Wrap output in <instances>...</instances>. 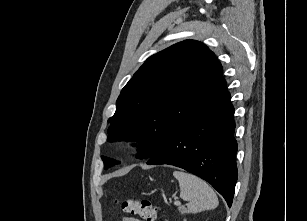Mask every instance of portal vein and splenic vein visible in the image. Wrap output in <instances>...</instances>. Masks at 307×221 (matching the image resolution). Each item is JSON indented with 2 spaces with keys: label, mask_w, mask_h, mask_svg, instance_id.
Listing matches in <instances>:
<instances>
[{
  "label": "portal vein and splenic vein",
  "mask_w": 307,
  "mask_h": 221,
  "mask_svg": "<svg viewBox=\"0 0 307 221\" xmlns=\"http://www.w3.org/2000/svg\"><path fill=\"white\" fill-rule=\"evenodd\" d=\"M174 204H175L176 206H179V205H180V202H179V201H175Z\"/></svg>",
  "instance_id": "18ae733b"
}]
</instances>
